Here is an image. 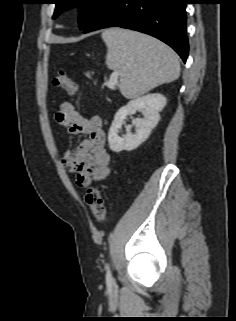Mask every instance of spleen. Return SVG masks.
<instances>
[{
    "instance_id": "spleen-1",
    "label": "spleen",
    "mask_w": 236,
    "mask_h": 321,
    "mask_svg": "<svg viewBox=\"0 0 236 321\" xmlns=\"http://www.w3.org/2000/svg\"><path fill=\"white\" fill-rule=\"evenodd\" d=\"M107 46L106 65L120 75L119 89L128 99L136 98L180 75L176 53L148 35L120 28L102 33Z\"/></svg>"
}]
</instances>
